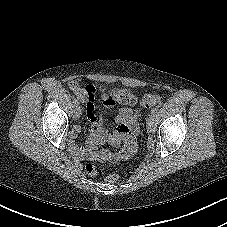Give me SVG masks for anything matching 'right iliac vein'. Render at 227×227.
<instances>
[{"label": "right iliac vein", "instance_id": "right-iliac-vein-1", "mask_svg": "<svg viewBox=\"0 0 227 227\" xmlns=\"http://www.w3.org/2000/svg\"><path fill=\"white\" fill-rule=\"evenodd\" d=\"M80 116H81V108H80V106H76L75 109H74L73 118H74V120H77V119L80 118Z\"/></svg>", "mask_w": 227, "mask_h": 227}]
</instances>
